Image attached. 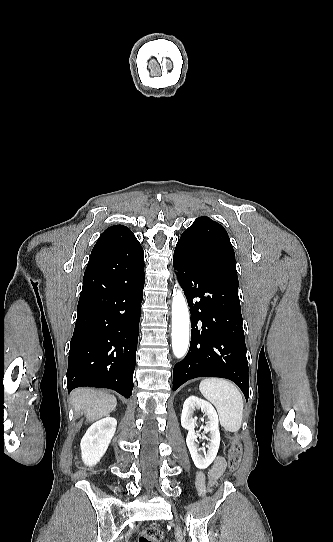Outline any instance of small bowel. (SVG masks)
<instances>
[{
    "mask_svg": "<svg viewBox=\"0 0 333 542\" xmlns=\"http://www.w3.org/2000/svg\"><path fill=\"white\" fill-rule=\"evenodd\" d=\"M226 470V460L218 456L213 461L209 471L208 478L203 472L196 474V488L199 495L204 496L212 490L218 480L223 476Z\"/></svg>",
    "mask_w": 333,
    "mask_h": 542,
    "instance_id": "1",
    "label": "small bowel"
}]
</instances>
